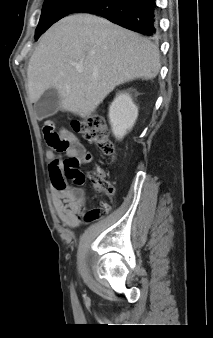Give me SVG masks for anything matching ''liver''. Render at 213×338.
Returning <instances> with one entry per match:
<instances>
[{"instance_id": "liver-1", "label": "liver", "mask_w": 213, "mask_h": 338, "mask_svg": "<svg viewBox=\"0 0 213 338\" xmlns=\"http://www.w3.org/2000/svg\"><path fill=\"white\" fill-rule=\"evenodd\" d=\"M160 67L159 49L149 39L94 15H70L41 37L28 64V94L36 103L54 87L62 110L85 118L116 86L153 79Z\"/></svg>"}]
</instances>
